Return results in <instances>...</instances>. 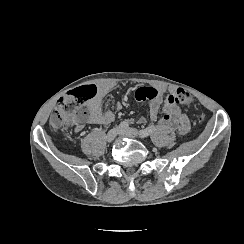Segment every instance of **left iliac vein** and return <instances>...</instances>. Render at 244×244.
<instances>
[{"label": "left iliac vein", "instance_id": "obj_1", "mask_svg": "<svg viewBox=\"0 0 244 244\" xmlns=\"http://www.w3.org/2000/svg\"><path fill=\"white\" fill-rule=\"evenodd\" d=\"M121 136L129 137V138H135L139 135V131L135 128H127L123 129L119 133Z\"/></svg>", "mask_w": 244, "mask_h": 244}]
</instances>
